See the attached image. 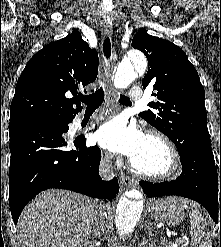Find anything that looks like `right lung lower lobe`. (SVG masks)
<instances>
[{
    "instance_id": "obj_1",
    "label": "right lung lower lobe",
    "mask_w": 221,
    "mask_h": 247,
    "mask_svg": "<svg viewBox=\"0 0 221 247\" xmlns=\"http://www.w3.org/2000/svg\"><path fill=\"white\" fill-rule=\"evenodd\" d=\"M70 122L66 127L51 124L9 127V205L15 223L27 203L45 189H68L108 200L118 194L117 178L104 181L99 176V147L87 148L84 137L74 141L65 137Z\"/></svg>"
}]
</instances>
